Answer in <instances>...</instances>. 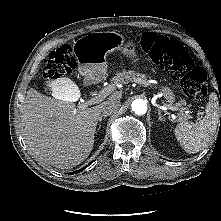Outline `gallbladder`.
Wrapping results in <instances>:
<instances>
[{"instance_id": "gallbladder-1", "label": "gallbladder", "mask_w": 221, "mask_h": 221, "mask_svg": "<svg viewBox=\"0 0 221 221\" xmlns=\"http://www.w3.org/2000/svg\"><path fill=\"white\" fill-rule=\"evenodd\" d=\"M53 95L69 104L78 102L82 96L80 87L65 78H59L51 83Z\"/></svg>"}]
</instances>
